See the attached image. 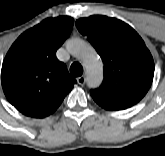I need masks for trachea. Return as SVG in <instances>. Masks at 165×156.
Returning a JSON list of instances; mask_svg holds the SVG:
<instances>
[{
  "label": "trachea",
  "instance_id": "obj_1",
  "mask_svg": "<svg viewBox=\"0 0 165 156\" xmlns=\"http://www.w3.org/2000/svg\"><path fill=\"white\" fill-rule=\"evenodd\" d=\"M70 73L73 77H78L83 74V67L80 63L74 62L70 67Z\"/></svg>",
  "mask_w": 165,
  "mask_h": 156
}]
</instances>
